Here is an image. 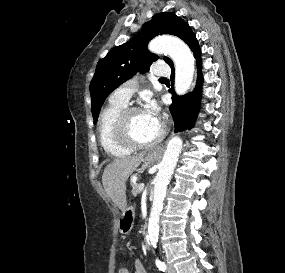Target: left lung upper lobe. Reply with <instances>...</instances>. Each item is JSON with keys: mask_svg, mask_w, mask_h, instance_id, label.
<instances>
[{"mask_svg": "<svg viewBox=\"0 0 285 273\" xmlns=\"http://www.w3.org/2000/svg\"><path fill=\"white\" fill-rule=\"evenodd\" d=\"M160 34L175 35L186 42L193 32L188 23L175 14L159 13L144 24L142 30L134 38L114 47L106 57L98 62L90 83L94 124L97 122L106 97L137 71L147 72L150 65L158 59L157 55L148 51L147 44ZM164 61L169 65L173 64L167 57H164Z\"/></svg>", "mask_w": 285, "mask_h": 273, "instance_id": "obj_1", "label": "left lung upper lobe"}]
</instances>
